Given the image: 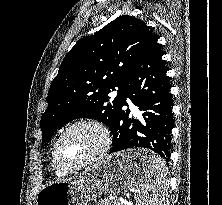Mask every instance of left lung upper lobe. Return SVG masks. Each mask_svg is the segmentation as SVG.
<instances>
[{"label":"left lung upper lobe","mask_w":222,"mask_h":205,"mask_svg":"<svg viewBox=\"0 0 222 205\" xmlns=\"http://www.w3.org/2000/svg\"><path fill=\"white\" fill-rule=\"evenodd\" d=\"M151 34L143 21L123 15L80 39L50 86L40 122L42 141L76 118L97 119L111 130L121 110L127 75ZM116 88L117 95L111 96ZM168 153L161 152L163 157Z\"/></svg>","instance_id":"left-lung-upper-lobe-1"}]
</instances>
